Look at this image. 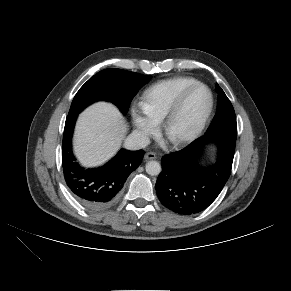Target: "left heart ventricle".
<instances>
[{"label": "left heart ventricle", "mask_w": 291, "mask_h": 291, "mask_svg": "<svg viewBox=\"0 0 291 291\" xmlns=\"http://www.w3.org/2000/svg\"><path fill=\"white\" fill-rule=\"evenodd\" d=\"M209 104V94L204 88L194 90L184 102L169 129V138L188 135L198 125Z\"/></svg>", "instance_id": "obj_1"}]
</instances>
